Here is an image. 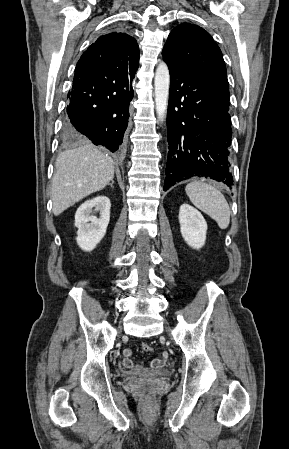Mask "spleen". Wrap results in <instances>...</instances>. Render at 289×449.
Segmentation results:
<instances>
[{"instance_id": "1", "label": "spleen", "mask_w": 289, "mask_h": 449, "mask_svg": "<svg viewBox=\"0 0 289 449\" xmlns=\"http://www.w3.org/2000/svg\"><path fill=\"white\" fill-rule=\"evenodd\" d=\"M191 202L215 220L221 229L230 223V208L224 195L210 184L192 181L185 187Z\"/></svg>"}]
</instances>
